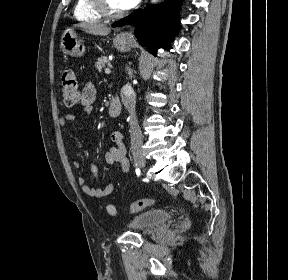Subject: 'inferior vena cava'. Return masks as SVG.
Listing matches in <instances>:
<instances>
[{"label":"inferior vena cava","instance_id":"obj_1","mask_svg":"<svg viewBox=\"0 0 288 280\" xmlns=\"http://www.w3.org/2000/svg\"><path fill=\"white\" fill-rule=\"evenodd\" d=\"M119 93L122 94V100L125 104H135L137 93L134 92V89H128V86L124 85L123 89L119 90ZM126 109L128 110L127 117L130 126V147L131 150H133L131 156L133 159H146V154H144V150H142L144 138L143 134H141V125H138L137 114L132 105H127Z\"/></svg>","mask_w":288,"mask_h":280}]
</instances>
